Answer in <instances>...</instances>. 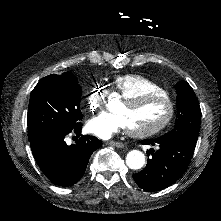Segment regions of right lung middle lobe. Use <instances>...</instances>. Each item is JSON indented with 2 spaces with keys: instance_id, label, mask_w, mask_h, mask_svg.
Wrapping results in <instances>:
<instances>
[{
  "instance_id": "right-lung-middle-lobe-1",
  "label": "right lung middle lobe",
  "mask_w": 221,
  "mask_h": 221,
  "mask_svg": "<svg viewBox=\"0 0 221 221\" xmlns=\"http://www.w3.org/2000/svg\"><path fill=\"white\" fill-rule=\"evenodd\" d=\"M81 87L69 72L48 75L33 89L28 107V139L71 132L82 120Z\"/></svg>"
}]
</instances>
